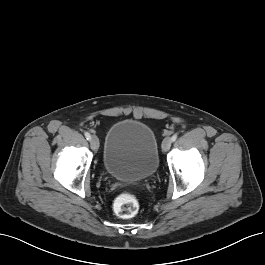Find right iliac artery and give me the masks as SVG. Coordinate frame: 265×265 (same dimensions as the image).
Returning a JSON list of instances; mask_svg holds the SVG:
<instances>
[{
  "mask_svg": "<svg viewBox=\"0 0 265 265\" xmlns=\"http://www.w3.org/2000/svg\"><path fill=\"white\" fill-rule=\"evenodd\" d=\"M84 135H85L87 140H89V141L91 140V135L88 132H85Z\"/></svg>",
  "mask_w": 265,
  "mask_h": 265,
  "instance_id": "obj_1",
  "label": "right iliac artery"
}]
</instances>
